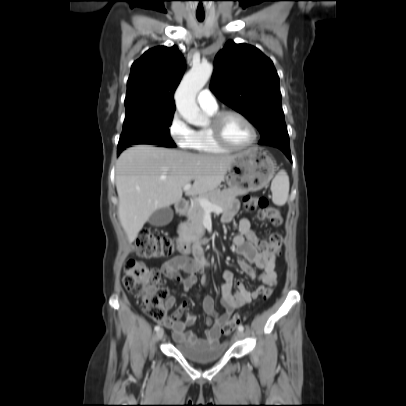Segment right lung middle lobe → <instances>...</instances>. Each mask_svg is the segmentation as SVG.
<instances>
[{"label": "right lung middle lobe", "instance_id": "1", "mask_svg": "<svg viewBox=\"0 0 406 406\" xmlns=\"http://www.w3.org/2000/svg\"><path fill=\"white\" fill-rule=\"evenodd\" d=\"M173 114L174 111L154 109L138 108L126 110L117 152L136 144L176 147L168 129L171 125Z\"/></svg>", "mask_w": 406, "mask_h": 406}]
</instances>
